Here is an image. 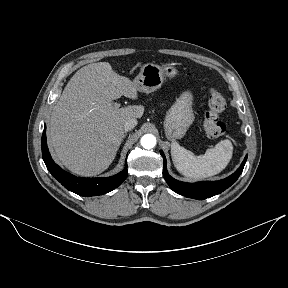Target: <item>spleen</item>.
I'll return each instance as SVG.
<instances>
[{
  "label": "spleen",
  "instance_id": "3e777b00",
  "mask_svg": "<svg viewBox=\"0 0 288 288\" xmlns=\"http://www.w3.org/2000/svg\"><path fill=\"white\" fill-rule=\"evenodd\" d=\"M233 146L229 140H222L205 154L195 156L177 142L171 144L172 161L176 169L192 179H204L223 171L232 158Z\"/></svg>",
  "mask_w": 288,
  "mask_h": 288
}]
</instances>
